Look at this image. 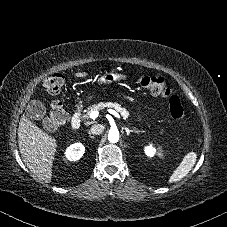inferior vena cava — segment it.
<instances>
[{
  "mask_svg": "<svg viewBox=\"0 0 227 227\" xmlns=\"http://www.w3.org/2000/svg\"><path fill=\"white\" fill-rule=\"evenodd\" d=\"M104 125L96 124L91 127V133L94 135H99L104 131Z\"/></svg>",
  "mask_w": 227,
  "mask_h": 227,
  "instance_id": "obj_1",
  "label": "inferior vena cava"
}]
</instances>
